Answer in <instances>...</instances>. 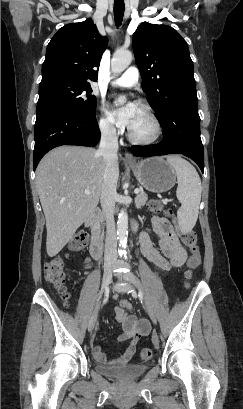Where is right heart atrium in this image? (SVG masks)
Segmentation results:
<instances>
[{
  "instance_id": "obj_1",
  "label": "right heart atrium",
  "mask_w": 243,
  "mask_h": 409,
  "mask_svg": "<svg viewBox=\"0 0 243 409\" xmlns=\"http://www.w3.org/2000/svg\"><path fill=\"white\" fill-rule=\"evenodd\" d=\"M98 126L101 132L107 136H113L116 133V129L104 109H102V115L98 120Z\"/></svg>"
}]
</instances>
